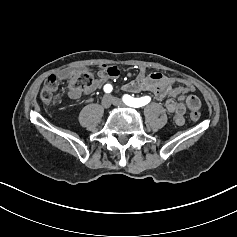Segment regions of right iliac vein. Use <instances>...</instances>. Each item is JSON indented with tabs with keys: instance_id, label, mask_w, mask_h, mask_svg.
Instances as JSON below:
<instances>
[{
	"instance_id": "1",
	"label": "right iliac vein",
	"mask_w": 237,
	"mask_h": 237,
	"mask_svg": "<svg viewBox=\"0 0 237 237\" xmlns=\"http://www.w3.org/2000/svg\"><path fill=\"white\" fill-rule=\"evenodd\" d=\"M101 105L103 108L107 109L111 106V96L109 95H105L103 98H102V101H101Z\"/></svg>"
}]
</instances>
